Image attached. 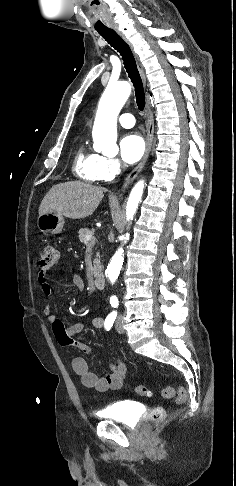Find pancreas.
Wrapping results in <instances>:
<instances>
[{"label":"pancreas","instance_id":"pancreas-1","mask_svg":"<svg viewBox=\"0 0 236 486\" xmlns=\"http://www.w3.org/2000/svg\"><path fill=\"white\" fill-rule=\"evenodd\" d=\"M94 230H90L88 228L80 229L78 232V237L81 243L86 245L87 247H92L95 243V238L93 237ZM86 236H91V240L86 241ZM101 269L100 262L97 259L94 260V273H97Z\"/></svg>","mask_w":236,"mask_h":486}]
</instances>
